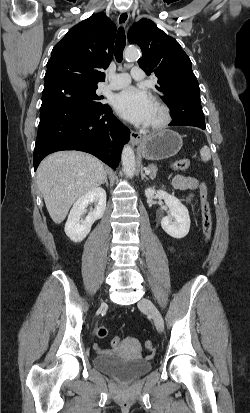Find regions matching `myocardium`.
<instances>
[{"label": "myocardium", "instance_id": "f54148a6", "mask_svg": "<svg viewBox=\"0 0 250 413\" xmlns=\"http://www.w3.org/2000/svg\"><path fill=\"white\" fill-rule=\"evenodd\" d=\"M154 106L159 112V119L152 124H148L147 128L152 131H159L164 129L171 122V110L169 106L160 99H154Z\"/></svg>", "mask_w": 250, "mask_h": 413}]
</instances>
